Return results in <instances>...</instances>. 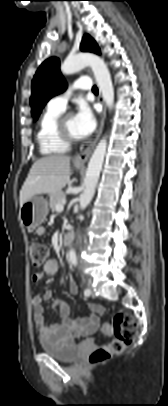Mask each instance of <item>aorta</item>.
I'll return each instance as SVG.
<instances>
[{"instance_id": "1", "label": "aorta", "mask_w": 168, "mask_h": 406, "mask_svg": "<svg viewBox=\"0 0 168 406\" xmlns=\"http://www.w3.org/2000/svg\"><path fill=\"white\" fill-rule=\"evenodd\" d=\"M86 66H90L97 85L99 87L102 98L107 107H111L114 102V89L111 80L110 72L105 64L104 60L99 56L91 53H80L74 56H69L65 59L61 65V71L65 75L76 73ZM107 140L103 137L96 146L86 171V177L84 180V191L80 196V208L85 209L91 202L95 188L100 176L102 164L106 154ZM68 257L72 265H77V256L74 249H70Z\"/></svg>"}]
</instances>
